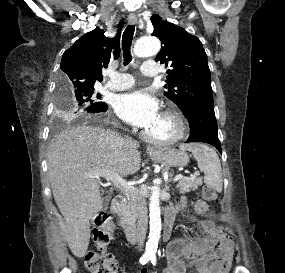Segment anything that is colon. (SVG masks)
<instances>
[{
    "instance_id": "5ec220e1",
    "label": "colon",
    "mask_w": 285,
    "mask_h": 273,
    "mask_svg": "<svg viewBox=\"0 0 285 273\" xmlns=\"http://www.w3.org/2000/svg\"><path fill=\"white\" fill-rule=\"evenodd\" d=\"M203 197L207 201L217 202L218 193L216 189L205 186ZM113 232L109 219L99 218L93 231V245L97 250L88 251L84 257L85 265L90 273H116V262L112 255L106 252Z\"/></svg>"
}]
</instances>
